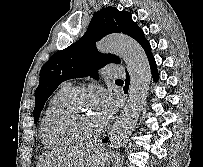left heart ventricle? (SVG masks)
Wrapping results in <instances>:
<instances>
[{"mask_svg":"<svg viewBox=\"0 0 203 167\" xmlns=\"http://www.w3.org/2000/svg\"><path fill=\"white\" fill-rule=\"evenodd\" d=\"M62 127L75 136H89L102 128L97 112L88 99L79 98L62 121Z\"/></svg>","mask_w":203,"mask_h":167,"instance_id":"1","label":"left heart ventricle"}]
</instances>
